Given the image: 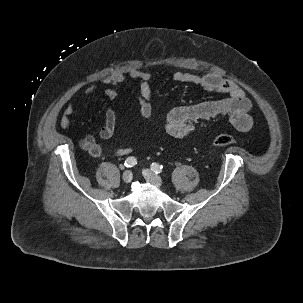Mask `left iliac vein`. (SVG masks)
<instances>
[{
  "mask_svg": "<svg viewBox=\"0 0 303 303\" xmlns=\"http://www.w3.org/2000/svg\"><path fill=\"white\" fill-rule=\"evenodd\" d=\"M143 175H144L145 179L148 182H150L151 184L158 186V187L162 186L163 181H162L161 177L154 174L151 170H149V169L143 170Z\"/></svg>",
  "mask_w": 303,
  "mask_h": 303,
  "instance_id": "4c4485c4",
  "label": "left iliac vein"
}]
</instances>
